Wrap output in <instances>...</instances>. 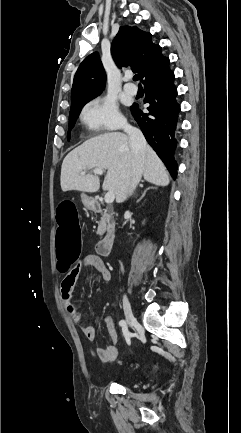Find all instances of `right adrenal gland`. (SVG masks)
Listing matches in <instances>:
<instances>
[{
    "mask_svg": "<svg viewBox=\"0 0 241 433\" xmlns=\"http://www.w3.org/2000/svg\"><path fill=\"white\" fill-rule=\"evenodd\" d=\"M141 186H142V185H141ZM153 188H155V187H148V188H146V189L143 191L141 197L137 200V202H139L142 198H144V196L146 195V193H147L148 190L153 189Z\"/></svg>",
    "mask_w": 241,
    "mask_h": 433,
    "instance_id": "2a0ac1e0",
    "label": "right adrenal gland"
}]
</instances>
